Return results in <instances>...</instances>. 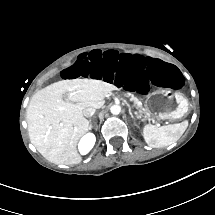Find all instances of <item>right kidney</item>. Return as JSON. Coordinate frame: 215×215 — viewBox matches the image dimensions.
Returning a JSON list of instances; mask_svg holds the SVG:
<instances>
[{"mask_svg":"<svg viewBox=\"0 0 215 215\" xmlns=\"http://www.w3.org/2000/svg\"><path fill=\"white\" fill-rule=\"evenodd\" d=\"M96 142V137L93 133H87L84 135L79 144L78 149L81 155H86L90 152V150L94 147Z\"/></svg>","mask_w":215,"mask_h":215,"instance_id":"right-kidney-1","label":"right kidney"}]
</instances>
